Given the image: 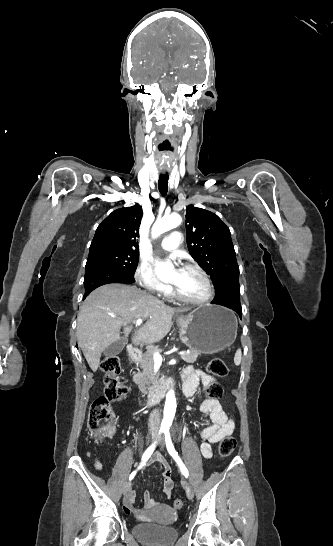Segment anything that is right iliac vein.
Instances as JSON below:
<instances>
[{
  "label": "right iliac vein",
  "mask_w": 333,
  "mask_h": 546,
  "mask_svg": "<svg viewBox=\"0 0 333 546\" xmlns=\"http://www.w3.org/2000/svg\"><path fill=\"white\" fill-rule=\"evenodd\" d=\"M152 438H153V437H152ZM130 489H131V483L129 482V483H127V484L125 485V487H124V489H123V493H124V494H127V493L130 491Z\"/></svg>",
  "instance_id": "1"
}]
</instances>
